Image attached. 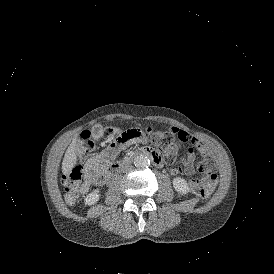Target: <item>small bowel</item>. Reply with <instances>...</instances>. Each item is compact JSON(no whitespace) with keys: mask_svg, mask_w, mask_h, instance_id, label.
<instances>
[{"mask_svg":"<svg viewBox=\"0 0 274 274\" xmlns=\"http://www.w3.org/2000/svg\"><path fill=\"white\" fill-rule=\"evenodd\" d=\"M170 135L174 137H179L183 142H189L192 145L188 146L189 152H194L195 147L201 152L205 151V145L197 138L193 137L189 133L178 130L176 131L173 126H168L167 128ZM135 143L144 145L146 143L145 139L141 136L134 141ZM126 144L115 145L112 144L105 151L95 153L92 155L84 164V174L83 182L80 186V193L86 195L90 192L92 186L101 187L104 186L110 179L112 167L115 163V158L124 149ZM201 160L207 159L206 153L200 154ZM180 165L184 167L183 171L186 175L191 176L194 173V155L188 154L187 158H182L180 160ZM209 170L210 182L217 183L219 179V174L216 169L213 168L211 162H205L204 166H197L196 172L202 175H207ZM169 172L173 175H177L181 172V169L172 167L169 168Z\"/></svg>","mask_w":274,"mask_h":274,"instance_id":"obj_1","label":"small bowel"}]
</instances>
